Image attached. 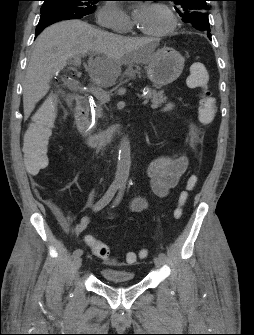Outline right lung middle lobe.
<instances>
[{"label":"right lung middle lobe","mask_w":254,"mask_h":335,"mask_svg":"<svg viewBox=\"0 0 254 335\" xmlns=\"http://www.w3.org/2000/svg\"><path fill=\"white\" fill-rule=\"evenodd\" d=\"M41 14L49 11H66L79 17L91 14L100 0H43Z\"/></svg>","instance_id":"dd1d6c3e"}]
</instances>
